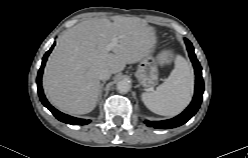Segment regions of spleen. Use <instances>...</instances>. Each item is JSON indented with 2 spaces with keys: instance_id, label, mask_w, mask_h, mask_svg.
<instances>
[{
  "instance_id": "1",
  "label": "spleen",
  "mask_w": 248,
  "mask_h": 158,
  "mask_svg": "<svg viewBox=\"0 0 248 158\" xmlns=\"http://www.w3.org/2000/svg\"><path fill=\"white\" fill-rule=\"evenodd\" d=\"M193 90V71L185 58L177 55L169 77L155 91L144 92L142 101L150 111L158 115L175 116L188 106Z\"/></svg>"
}]
</instances>
